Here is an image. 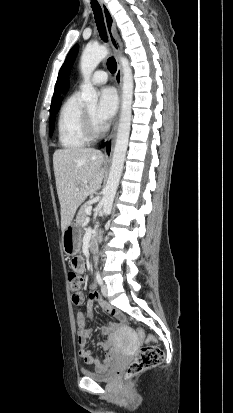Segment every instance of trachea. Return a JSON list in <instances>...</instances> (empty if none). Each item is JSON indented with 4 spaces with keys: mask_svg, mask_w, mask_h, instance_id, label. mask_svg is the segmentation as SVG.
Returning a JSON list of instances; mask_svg holds the SVG:
<instances>
[{
    "mask_svg": "<svg viewBox=\"0 0 233 413\" xmlns=\"http://www.w3.org/2000/svg\"><path fill=\"white\" fill-rule=\"evenodd\" d=\"M91 6H92V9L94 11V18H95V22H96L100 37L103 41L106 42L107 41V33H106V30H105V26H104L102 9H101L100 5L98 4V2L96 0H91ZM107 67H108V70L111 73L116 72L117 63H116V60L113 57L108 58Z\"/></svg>",
    "mask_w": 233,
    "mask_h": 413,
    "instance_id": "1",
    "label": "trachea"
}]
</instances>
